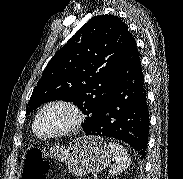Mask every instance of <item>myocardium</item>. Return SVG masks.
Listing matches in <instances>:
<instances>
[{
	"label": "myocardium",
	"instance_id": "obj_1",
	"mask_svg": "<svg viewBox=\"0 0 183 179\" xmlns=\"http://www.w3.org/2000/svg\"><path fill=\"white\" fill-rule=\"evenodd\" d=\"M51 107H63L67 109L72 115V121L68 127L61 131L55 133H44L40 128V120L43 113ZM83 117L84 116L81 108L75 102L64 99L53 100L46 103L37 113L35 119V130L39 136L44 138H57L66 136L77 131L80 128L83 122Z\"/></svg>",
	"mask_w": 183,
	"mask_h": 179
}]
</instances>
